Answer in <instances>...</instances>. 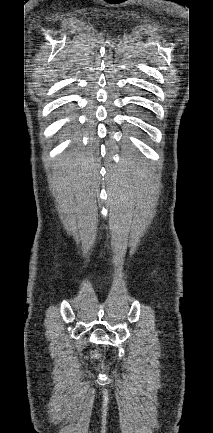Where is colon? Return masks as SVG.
I'll list each match as a JSON object with an SVG mask.
<instances>
[{
    "label": "colon",
    "mask_w": 213,
    "mask_h": 433,
    "mask_svg": "<svg viewBox=\"0 0 213 433\" xmlns=\"http://www.w3.org/2000/svg\"><path fill=\"white\" fill-rule=\"evenodd\" d=\"M99 357V352H98V350H92L91 351V358H93V359H96V358H98Z\"/></svg>",
    "instance_id": "5ec220e1"
}]
</instances>
